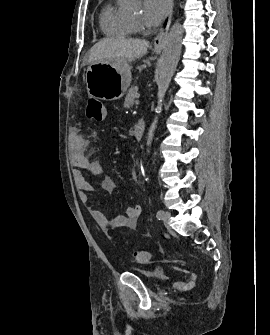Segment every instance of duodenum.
Wrapping results in <instances>:
<instances>
[{"label":"duodenum","mask_w":270,"mask_h":335,"mask_svg":"<svg viewBox=\"0 0 270 335\" xmlns=\"http://www.w3.org/2000/svg\"><path fill=\"white\" fill-rule=\"evenodd\" d=\"M145 123L143 121H138L134 127L133 134L136 139H141L144 135Z\"/></svg>","instance_id":"duodenum-1"}]
</instances>
